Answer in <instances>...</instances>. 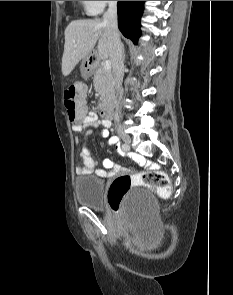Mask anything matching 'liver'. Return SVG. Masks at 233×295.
<instances>
[{
    "instance_id": "6515ba94",
    "label": "liver",
    "mask_w": 233,
    "mask_h": 295,
    "mask_svg": "<svg viewBox=\"0 0 233 295\" xmlns=\"http://www.w3.org/2000/svg\"><path fill=\"white\" fill-rule=\"evenodd\" d=\"M98 41V60L110 57L106 23L99 19L74 20L65 29L62 73L68 76L79 61L85 58Z\"/></svg>"
}]
</instances>
